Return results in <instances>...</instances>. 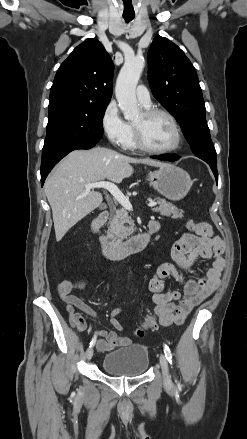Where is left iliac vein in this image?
<instances>
[{"instance_id":"obj_1","label":"left iliac vein","mask_w":247,"mask_h":439,"mask_svg":"<svg viewBox=\"0 0 247 439\" xmlns=\"http://www.w3.org/2000/svg\"><path fill=\"white\" fill-rule=\"evenodd\" d=\"M159 361H160V366H161V369H162L164 385L167 388H171L173 384H172V380H171V377H170V374H169V368H168L167 359H166V357L163 354H161L160 358H159Z\"/></svg>"}]
</instances>
